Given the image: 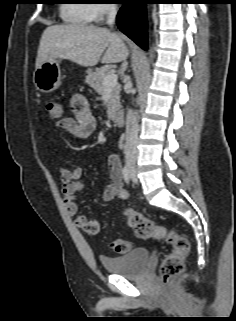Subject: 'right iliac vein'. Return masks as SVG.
<instances>
[{
    "label": "right iliac vein",
    "instance_id": "63e3f726",
    "mask_svg": "<svg viewBox=\"0 0 236 321\" xmlns=\"http://www.w3.org/2000/svg\"><path fill=\"white\" fill-rule=\"evenodd\" d=\"M127 164H128V167L130 168L131 172H132L133 174H135L136 168H135L133 162H132L131 160H128V161H127Z\"/></svg>",
    "mask_w": 236,
    "mask_h": 321
}]
</instances>
